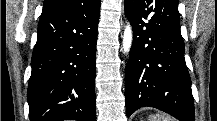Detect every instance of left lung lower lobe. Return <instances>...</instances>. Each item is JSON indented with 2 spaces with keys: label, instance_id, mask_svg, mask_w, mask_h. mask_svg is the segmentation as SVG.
I'll return each instance as SVG.
<instances>
[{
  "label": "left lung lower lobe",
  "instance_id": "obj_1",
  "mask_svg": "<svg viewBox=\"0 0 217 121\" xmlns=\"http://www.w3.org/2000/svg\"><path fill=\"white\" fill-rule=\"evenodd\" d=\"M125 12L134 32L125 73L127 116L149 106L194 121L178 0H125Z\"/></svg>",
  "mask_w": 217,
  "mask_h": 121
}]
</instances>
